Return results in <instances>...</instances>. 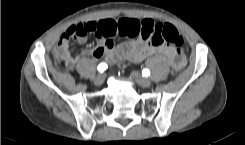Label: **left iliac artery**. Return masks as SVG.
<instances>
[{
  "mask_svg": "<svg viewBox=\"0 0 245 145\" xmlns=\"http://www.w3.org/2000/svg\"><path fill=\"white\" fill-rule=\"evenodd\" d=\"M149 75H150L149 69H147V68L143 69V71H142V76H143V77H148Z\"/></svg>",
  "mask_w": 245,
  "mask_h": 145,
  "instance_id": "left-iliac-artery-1",
  "label": "left iliac artery"
}]
</instances>
